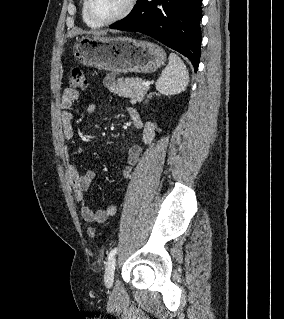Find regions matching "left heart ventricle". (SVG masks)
<instances>
[{
  "label": "left heart ventricle",
  "mask_w": 284,
  "mask_h": 319,
  "mask_svg": "<svg viewBox=\"0 0 284 319\" xmlns=\"http://www.w3.org/2000/svg\"><path fill=\"white\" fill-rule=\"evenodd\" d=\"M127 0H91V11L100 20H108L119 14Z\"/></svg>",
  "instance_id": "b2bd125f"
}]
</instances>
